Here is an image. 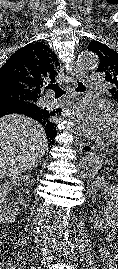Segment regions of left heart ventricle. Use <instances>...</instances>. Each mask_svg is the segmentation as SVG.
<instances>
[{
	"label": "left heart ventricle",
	"instance_id": "obj_1",
	"mask_svg": "<svg viewBox=\"0 0 118 269\" xmlns=\"http://www.w3.org/2000/svg\"><path fill=\"white\" fill-rule=\"evenodd\" d=\"M110 136H116L118 137V119L113 117V121L111 124V130H110Z\"/></svg>",
	"mask_w": 118,
	"mask_h": 269
}]
</instances>
